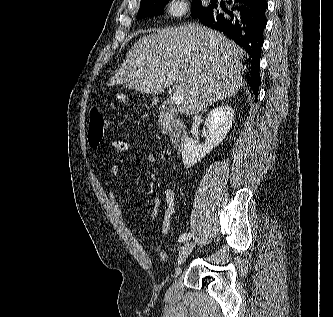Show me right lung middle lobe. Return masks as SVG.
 <instances>
[{"label": "right lung middle lobe", "mask_w": 333, "mask_h": 317, "mask_svg": "<svg viewBox=\"0 0 333 317\" xmlns=\"http://www.w3.org/2000/svg\"><path fill=\"white\" fill-rule=\"evenodd\" d=\"M169 0H141L139 13L137 18H144L147 16L160 15L163 13L165 4ZM207 7L202 5L201 0H194L192 6V12L198 15L201 11L205 10Z\"/></svg>", "instance_id": "right-lung-middle-lobe-1"}]
</instances>
